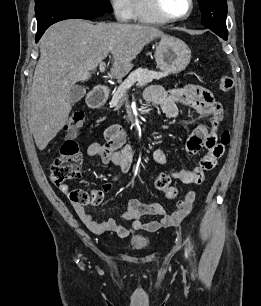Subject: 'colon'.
<instances>
[{"instance_id": "colon-1", "label": "colon", "mask_w": 261, "mask_h": 306, "mask_svg": "<svg viewBox=\"0 0 261 306\" xmlns=\"http://www.w3.org/2000/svg\"><path fill=\"white\" fill-rule=\"evenodd\" d=\"M218 86L222 91H229L234 86L233 78L229 75H222L218 79ZM85 124V116L82 112H75L67 125V130L72 134L82 128ZM230 134L224 131L220 143L223 146L229 144ZM81 152L77 142L70 136L62 143L59 156L53 161L50 169V179L62 191L69 192L72 202L80 205H98L102 201L99 190L85 192L82 190L70 191L67 182L79 178L81 167ZM155 187L166 193L169 198L176 196V189L169 185L170 178L165 173H159L153 177Z\"/></svg>"}]
</instances>
